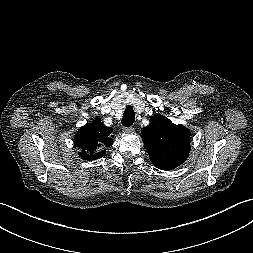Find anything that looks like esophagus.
<instances>
[{
	"label": "esophagus",
	"mask_w": 253,
	"mask_h": 253,
	"mask_svg": "<svg viewBox=\"0 0 253 253\" xmlns=\"http://www.w3.org/2000/svg\"><path fill=\"white\" fill-rule=\"evenodd\" d=\"M134 130H135V128L134 127H124L123 128V132L124 133H133L134 132Z\"/></svg>",
	"instance_id": "34e87169"
}]
</instances>
